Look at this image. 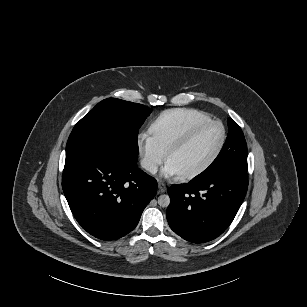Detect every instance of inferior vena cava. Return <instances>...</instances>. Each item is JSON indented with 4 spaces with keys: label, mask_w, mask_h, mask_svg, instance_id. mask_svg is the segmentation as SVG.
Wrapping results in <instances>:
<instances>
[{
    "label": "inferior vena cava",
    "mask_w": 307,
    "mask_h": 307,
    "mask_svg": "<svg viewBox=\"0 0 307 307\" xmlns=\"http://www.w3.org/2000/svg\"><path fill=\"white\" fill-rule=\"evenodd\" d=\"M140 164H141V167L147 171H150L152 173L157 172V169H158L157 164L150 162L147 159H142Z\"/></svg>",
    "instance_id": "inferior-vena-cava-1"
}]
</instances>
